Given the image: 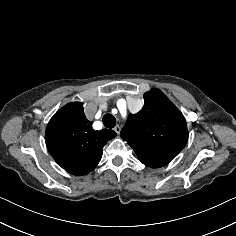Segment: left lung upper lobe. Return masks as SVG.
<instances>
[{
	"label": "left lung upper lobe",
	"mask_w": 236,
	"mask_h": 236,
	"mask_svg": "<svg viewBox=\"0 0 236 236\" xmlns=\"http://www.w3.org/2000/svg\"><path fill=\"white\" fill-rule=\"evenodd\" d=\"M144 107L129 114L120 136L146 166L168 164L185 147L187 124L179 109L158 89L144 94Z\"/></svg>",
	"instance_id": "1"
}]
</instances>
